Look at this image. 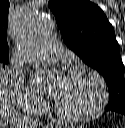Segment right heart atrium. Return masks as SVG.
I'll return each instance as SVG.
<instances>
[{"mask_svg": "<svg viewBox=\"0 0 125 128\" xmlns=\"http://www.w3.org/2000/svg\"><path fill=\"white\" fill-rule=\"evenodd\" d=\"M13 91L17 104L21 109L30 113H37L44 108V101L30 89L26 88L21 78L14 77Z\"/></svg>", "mask_w": 125, "mask_h": 128, "instance_id": "d8ad5b80", "label": "right heart atrium"}]
</instances>
